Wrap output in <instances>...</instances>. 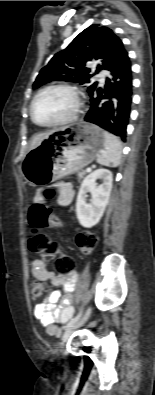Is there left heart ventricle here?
Masks as SVG:
<instances>
[{"instance_id": "left-heart-ventricle-1", "label": "left heart ventricle", "mask_w": 155, "mask_h": 395, "mask_svg": "<svg viewBox=\"0 0 155 395\" xmlns=\"http://www.w3.org/2000/svg\"><path fill=\"white\" fill-rule=\"evenodd\" d=\"M75 104L74 96L67 90H49L36 100L34 117L41 124L59 121L70 114Z\"/></svg>"}]
</instances>
